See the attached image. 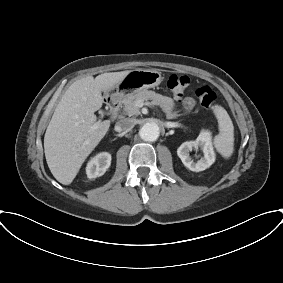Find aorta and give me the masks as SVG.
Segmentation results:
<instances>
[{
    "instance_id": "762f6f07",
    "label": "aorta",
    "mask_w": 283,
    "mask_h": 283,
    "mask_svg": "<svg viewBox=\"0 0 283 283\" xmlns=\"http://www.w3.org/2000/svg\"><path fill=\"white\" fill-rule=\"evenodd\" d=\"M159 134V125L154 121L146 122L139 130V136L148 142L155 141L159 137Z\"/></svg>"
}]
</instances>
